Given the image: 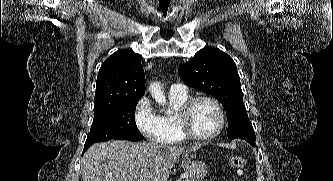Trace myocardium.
Instances as JSON below:
<instances>
[{
	"mask_svg": "<svg viewBox=\"0 0 333 181\" xmlns=\"http://www.w3.org/2000/svg\"><path fill=\"white\" fill-rule=\"evenodd\" d=\"M199 101H207V102L211 103L215 107V109L218 113L219 126L214 133H212L211 135H208V136L197 135L196 133H194V131L192 130L191 125H190L191 112L193 110V107ZM177 117H178V121H179V125H180L182 133L184 134V136L187 139H190L193 141L207 142V141L213 140L221 134V132L223 131V129L225 127V114H224V110H223L221 103L214 97H211L208 95H199V96L189 98L179 108V110L177 112Z\"/></svg>",
	"mask_w": 333,
	"mask_h": 181,
	"instance_id": "f54148a6",
	"label": "myocardium"
}]
</instances>
